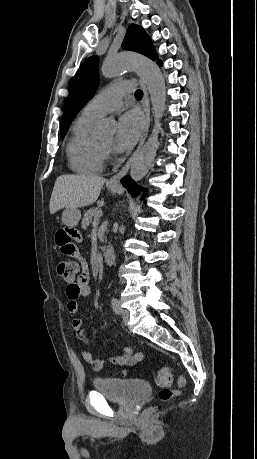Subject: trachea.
<instances>
[{
  "label": "trachea",
  "mask_w": 257,
  "mask_h": 459,
  "mask_svg": "<svg viewBox=\"0 0 257 459\" xmlns=\"http://www.w3.org/2000/svg\"><path fill=\"white\" fill-rule=\"evenodd\" d=\"M135 97H136L137 99H142V97H143V91H142V90H137V91L135 92Z\"/></svg>",
  "instance_id": "trachea-1"
}]
</instances>
